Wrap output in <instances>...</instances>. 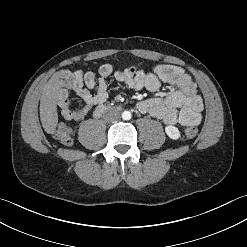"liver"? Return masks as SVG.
Listing matches in <instances>:
<instances>
[{"instance_id":"obj_1","label":"liver","mask_w":247,"mask_h":247,"mask_svg":"<svg viewBox=\"0 0 247 247\" xmlns=\"http://www.w3.org/2000/svg\"><path fill=\"white\" fill-rule=\"evenodd\" d=\"M61 94V82L58 75H53L43 88L40 99V119L48 134L55 132L58 123L57 102Z\"/></svg>"}]
</instances>
